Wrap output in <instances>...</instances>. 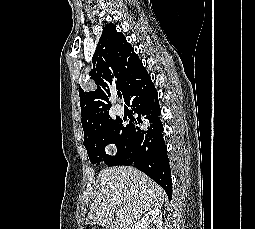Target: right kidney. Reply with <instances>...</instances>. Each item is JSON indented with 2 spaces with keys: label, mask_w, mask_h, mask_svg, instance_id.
Listing matches in <instances>:
<instances>
[{
  "label": "right kidney",
  "mask_w": 255,
  "mask_h": 229,
  "mask_svg": "<svg viewBox=\"0 0 255 229\" xmlns=\"http://www.w3.org/2000/svg\"><path fill=\"white\" fill-rule=\"evenodd\" d=\"M153 224L151 229H162V211L161 209H153L145 214L139 222L135 225V229H148L150 224Z\"/></svg>",
  "instance_id": "1"
}]
</instances>
